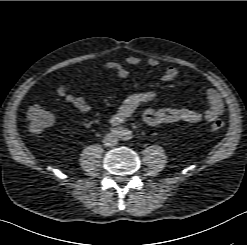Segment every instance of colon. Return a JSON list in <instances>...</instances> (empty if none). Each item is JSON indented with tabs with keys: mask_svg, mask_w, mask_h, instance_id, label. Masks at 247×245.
<instances>
[{
	"mask_svg": "<svg viewBox=\"0 0 247 245\" xmlns=\"http://www.w3.org/2000/svg\"><path fill=\"white\" fill-rule=\"evenodd\" d=\"M27 120L29 131L33 134H39L52 124L53 114L41 105H34L27 112ZM223 127L224 122L217 119L210 125V131L217 133Z\"/></svg>",
	"mask_w": 247,
	"mask_h": 245,
	"instance_id": "1",
	"label": "colon"
}]
</instances>
